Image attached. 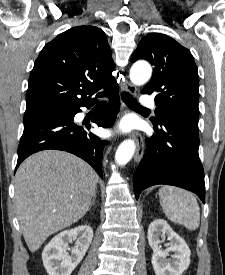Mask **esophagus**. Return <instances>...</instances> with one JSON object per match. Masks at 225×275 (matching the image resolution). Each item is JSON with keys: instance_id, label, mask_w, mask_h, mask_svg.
Masks as SVG:
<instances>
[{"instance_id": "obj_1", "label": "esophagus", "mask_w": 225, "mask_h": 275, "mask_svg": "<svg viewBox=\"0 0 225 275\" xmlns=\"http://www.w3.org/2000/svg\"><path fill=\"white\" fill-rule=\"evenodd\" d=\"M123 88L131 94L136 93V87L128 81L124 83ZM133 136L136 140V152L134 160L135 162H140L144 153V139L139 133H134Z\"/></svg>"}]
</instances>
